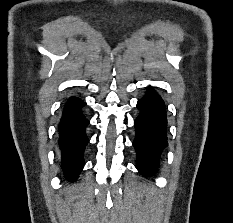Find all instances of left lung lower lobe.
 <instances>
[{
  "label": "left lung lower lobe",
  "instance_id": "1",
  "mask_svg": "<svg viewBox=\"0 0 233 223\" xmlns=\"http://www.w3.org/2000/svg\"><path fill=\"white\" fill-rule=\"evenodd\" d=\"M140 115L135 120L137 167L144 175L155 172L163 148L167 145V119L165 105L152 87L137 103Z\"/></svg>",
  "mask_w": 233,
  "mask_h": 223
}]
</instances>
